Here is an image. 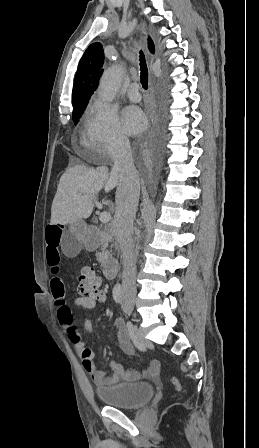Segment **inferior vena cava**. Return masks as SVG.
I'll return each instance as SVG.
<instances>
[{
  "mask_svg": "<svg viewBox=\"0 0 259 448\" xmlns=\"http://www.w3.org/2000/svg\"><path fill=\"white\" fill-rule=\"evenodd\" d=\"M112 174L118 176L116 212L113 230L120 244L124 270L122 280V302H135L136 298V260L138 250L133 242V222L140 196V178L134 166L131 146L126 136L117 138L113 154Z\"/></svg>",
  "mask_w": 259,
  "mask_h": 448,
  "instance_id": "602c4592",
  "label": "inferior vena cava"
}]
</instances>
